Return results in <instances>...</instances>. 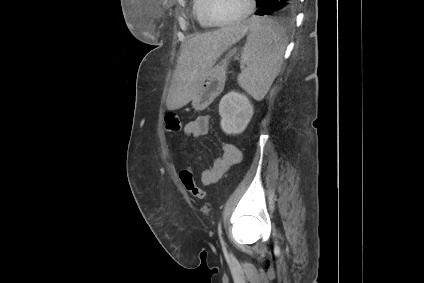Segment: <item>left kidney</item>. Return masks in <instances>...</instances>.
Wrapping results in <instances>:
<instances>
[{
	"label": "left kidney",
	"mask_w": 424,
	"mask_h": 283,
	"mask_svg": "<svg viewBox=\"0 0 424 283\" xmlns=\"http://www.w3.org/2000/svg\"><path fill=\"white\" fill-rule=\"evenodd\" d=\"M254 113L249 98L231 91L219 103L220 125L226 134H241L246 129Z\"/></svg>",
	"instance_id": "obj_1"
}]
</instances>
